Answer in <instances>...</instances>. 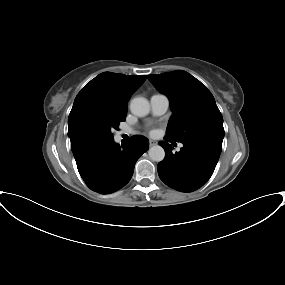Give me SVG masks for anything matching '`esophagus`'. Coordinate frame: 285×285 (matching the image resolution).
I'll use <instances>...</instances> for the list:
<instances>
[{"mask_svg": "<svg viewBox=\"0 0 285 285\" xmlns=\"http://www.w3.org/2000/svg\"><path fill=\"white\" fill-rule=\"evenodd\" d=\"M149 144L152 147V146H155L157 144V142L154 140H149Z\"/></svg>", "mask_w": 285, "mask_h": 285, "instance_id": "obj_1", "label": "esophagus"}]
</instances>
